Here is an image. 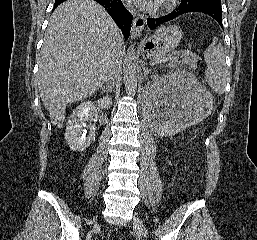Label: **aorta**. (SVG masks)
Wrapping results in <instances>:
<instances>
[{"label":"aorta","mask_w":257,"mask_h":240,"mask_svg":"<svg viewBox=\"0 0 257 240\" xmlns=\"http://www.w3.org/2000/svg\"><path fill=\"white\" fill-rule=\"evenodd\" d=\"M123 80L126 92L134 95L137 90V57L134 46L127 50L123 63Z\"/></svg>","instance_id":"1"}]
</instances>
